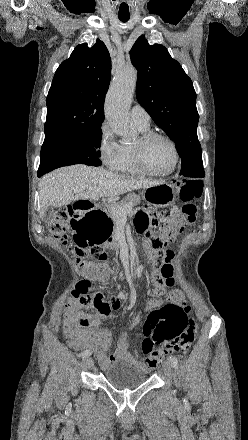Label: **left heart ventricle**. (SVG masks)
Returning a JSON list of instances; mask_svg holds the SVG:
<instances>
[{
    "mask_svg": "<svg viewBox=\"0 0 248 440\" xmlns=\"http://www.w3.org/2000/svg\"><path fill=\"white\" fill-rule=\"evenodd\" d=\"M145 159L150 170L165 172L173 165L174 153L171 145L166 140L157 138L147 146Z\"/></svg>",
    "mask_w": 248,
    "mask_h": 440,
    "instance_id": "1",
    "label": "left heart ventricle"
}]
</instances>
